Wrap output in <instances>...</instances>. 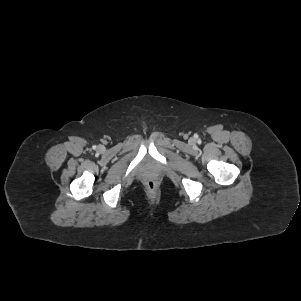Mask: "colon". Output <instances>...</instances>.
Listing matches in <instances>:
<instances>
[{"label":"colon","mask_w":301,"mask_h":301,"mask_svg":"<svg viewBox=\"0 0 301 301\" xmlns=\"http://www.w3.org/2000/svg\"><path fill=\"white\" fill-rule=\"evenodd\" d=\"M147 187L149 190L154 191L157 188V184L151 180L147 183Z\"/></svg>","instance_id":"colon-1"}]
</instances>
